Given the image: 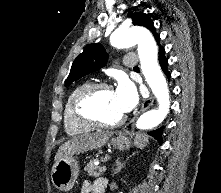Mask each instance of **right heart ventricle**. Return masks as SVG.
<instances>
[{
  "instance_id": "right-heart-ventricle-1",
  "label": "right heart ventricle",
  "mask_w": 221,
  "mask_h": 193,
  "mask_svg": "<svg viewBox=\"0 0 221 193\" xmlns=\"http://www.w3.org/2000/svg\"><path fill=\"white\" fill-rule=\"evenodd\" d=\"M88 83H80L77 86L73 88L71 93L69 94L65 109H64V129L65 132L70 136H77L81 134L88 133L94 129V127L85 125L80 123L74 116L73 110H72V104L75 96L78 94V92L86 86Z\"/></svg>"
}]
</instances>
